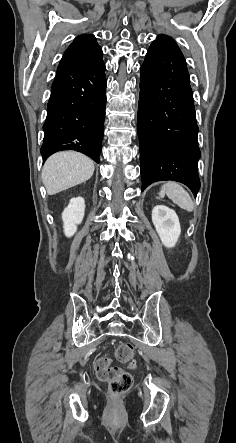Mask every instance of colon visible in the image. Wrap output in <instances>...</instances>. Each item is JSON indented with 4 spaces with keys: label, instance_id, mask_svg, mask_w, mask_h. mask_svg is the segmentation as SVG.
<instances>
[{
    "label": "colon",
    "instance_id": "colon-1",
    "mask_svg": "<svg viewBox=\"0 0 236 443\" xmlns=\"http://www.w3.org/2000/svg\"><path fill=\"white\" fill-rule=\"evenodd\" d=\"M116 356L121 362L133 363L135 349L130 343H121ZM95 369L98 378L108 383L112 395L118 396L130 390L133 383L132 375L119 367L112 366L109 357L100 358L95 364Z\"/></svg>",
    "mask_w": 236,
    "mask_h": 443
}]
</instances>
